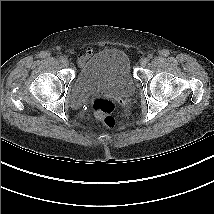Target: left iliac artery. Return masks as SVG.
<instances>
[{
    "mask_svg": "<svg viewBox=\"0 0 214 214\" xmlns=\"http://www.w3.org/2000/svg\"><path fill=\"white\" fill-rule=\"evenodd\" d=\"M153 56H152V54H149L148 55V59H151Z\"/></svg>",
    "mask_w": 214,
    "mask_h": 214,
    "instance_id": "left-iliac-artery-1",
    "label": "left iliac artery"
}]
</instances>
